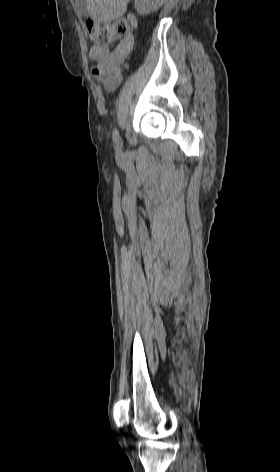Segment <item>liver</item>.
I'll return each mask as SVG.
<instances>
[{
    "instance_id": "1",
    "label": "liver",
    "mask_w": 280,
    "mask_h": 472,
    "mask_svg": "<svg viewBox=\"0 0 280 472\" xmlns=\"http://www.w3.org/2000/svg\"><path fill=\"white\" fill-rule=\"evenodd\" d=\"M88 14L94 21L108 23L120 19L130 0H84Z\"/></svg>"
}]
</instances>
